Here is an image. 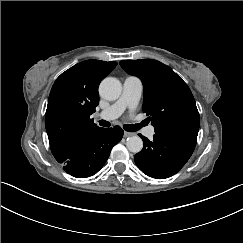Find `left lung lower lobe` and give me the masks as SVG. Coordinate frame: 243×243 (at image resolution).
<instances>
[{
  "label": "left lung lower lobe",
  "instance_id": "0a47b994",
  "mask_svg": "<svg viewBox=\"0 0 243 243\" xmlns=\"http://www.w3.org/2000/svg\"><path fill=\"white\" fill-rule=\"evenodd\" d=\"M139 136L144 147L135 155V163L144 174L157 179L176 174L189 160L197 142V138L174 133L155 132L153 140Z\"/></svg>",
  "mask_w": 243,
  "mask_h": 243
}]
</instances>
